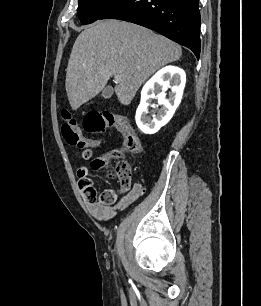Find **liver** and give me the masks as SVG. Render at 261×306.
I'll list each match as a JSON object with an SVG mask.
<instances>
[{
	"label": "liver",
	"instance_id": "1",
	"mask_svg": "<svg viewBox=\"0 0 261 306\" xmlns=\"http://www.w3.org/2000/svg\"><path fill=\"white\" fill-rule=\"evenodd\" d=\"M181 55L178 44L150 29L114 19L98 21L78 35L71 51L65 81L70 106L77 110L94 98L113 75L122 77L115 93L129 105L153 73Z\"/></svg>",
	"mask_w": 261,
	"mask_h": 306
}]
</instances>
